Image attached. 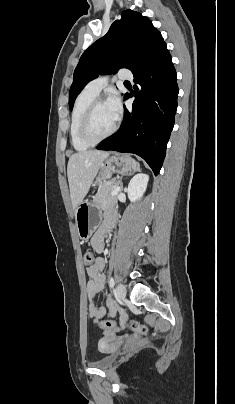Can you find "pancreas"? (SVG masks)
Instances as JSON below:
<instances>
[{"label": "pancreas", "mask_w": 235, "mask_h": 404, "mask_svg": "<svg viewBox=\"0 0 235 404\" xmlns=\"http://www.w3.org/2000/svg\"><path fill=\"white\" fill-rule=\"evenodd\" d=\"M120 183L121 180L118 179H111L103 182L93 198L94 203L98 204L101 208H106L110 205L116 204L117 195H112L111 193Z\"/></svg>", "instance_id": "obj_1"}]
</instances>
